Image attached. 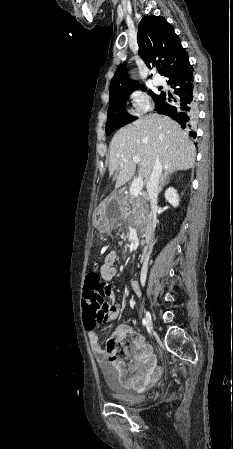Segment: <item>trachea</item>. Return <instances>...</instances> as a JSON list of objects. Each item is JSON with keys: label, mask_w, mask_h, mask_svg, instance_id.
Instances as JSON below:
<instances>
[{"label": "trachea", "mask_w": 233, "mask_h": 449, "mask_svg": "<svg viewBox=\"0 0 233 449\" xmlns=\"http://www.w3.org/2000/svg\"><path fill=\"white\" fill-rule=\"evenodd\" d=\"M157 69L160 70V69H161V66H157Z\"/></svg>", "instance_id": "trachea-1"}]
</instances>
